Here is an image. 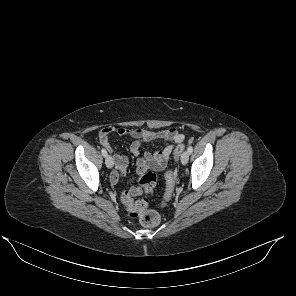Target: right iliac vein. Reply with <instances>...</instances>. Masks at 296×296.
Returning <instances> with one entry per match:
<instances>
[{"instance_id":"1","label":"right iliac vein","mask_w":296,"mask_h":296,"mask_svg":"<svg viewBox=\"0 0 296 296\" xmlns=\"http://www.w3.org/2000/svg\"><path fill=\"white\" fill-rule=\"evenodd\" d=\"M105 164H106V166H107L109 169H111V168L113 167L114 162H113V158H112V156H110V155L106 156V158H105Z\"/></svg>"}]
</instances>
